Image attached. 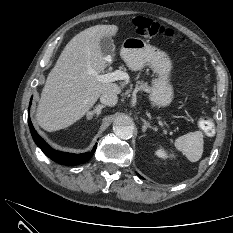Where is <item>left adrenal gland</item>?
<instances>
[{"label":"left adrenal gland","instance_id":"left-adrenal-gland-1","mask_svg":"<svg viewBox=\"0 0 233 233\" xmlns=\"http://www.w3.org/2000/svg\"><path fill=\"white\" fill-rule=\"evenodd\" d=\"M142 121H143L142 132H146L148 128L157 131V127L151 126L145 119H142Z\"/></svg>","mask_w":233,"mask_h":233}]
</instances>
